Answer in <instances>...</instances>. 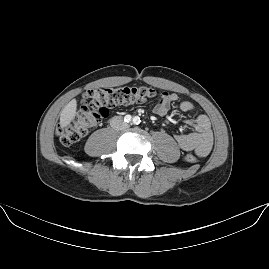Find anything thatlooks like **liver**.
Masks as SVG:
<instances>
[{
  "mask_svg": "<svg viewBox=\"0 0 269 269\" xmlns=\"http://www.w3.org/2000/svg\"><path fill=\"white\" fill-rule=\"evenodd\" d=\"M77 102L76 99H72L61 111L60 114V126L66 127L71 123L76 115Z\"/></svg>",
  "mask_w": 269,
  "mask_h": 269,
  "instance_id": "1",
  "label": "liver"
}]
</instances>
